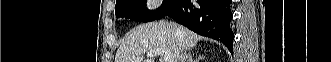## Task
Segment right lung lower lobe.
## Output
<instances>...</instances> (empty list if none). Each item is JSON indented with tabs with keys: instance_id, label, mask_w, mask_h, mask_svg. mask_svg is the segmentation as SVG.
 Masks as SVG:
<instances>
[{
	"instance_id": "1",
	"label": "right lung lower lobe",
	"mask_w": 331,
	"mask_h": 62,
	"mask_svg": "<svg viewBox=\"0 0 331 62\" xmlns=\"http://www.w3.org/2000/svg\"><path fill=\"white\" fill-rule=\"evenodd\" d=\"M230 4L231 0H179L166 15L202 36L221 41L233 53Z\"/></svg>"
}]
</instances>
